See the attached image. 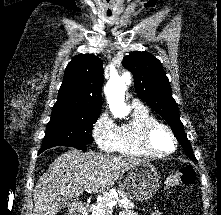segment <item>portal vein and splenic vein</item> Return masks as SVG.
I'll use <instances>...</instances> for the list:
<instances>
[{
  "instance_id": "1",
  "label": "portal vein and splenic vein",
  "mask_w": 221,
  "mask_h": 215,
  "mask_svg": "<svg viewBox=\"0 0 221 215\" xmlns=\"http://www.w3.org/2000/svg\"><path fill=\"white\" fill-rule=\"evenodd\" d=\"M117 202H118V200L116 199V200H112V201H110V202H108V203H106V206H108V207H113L114 205H116L117 204Z\"/></svg>"
}]
</instances>
